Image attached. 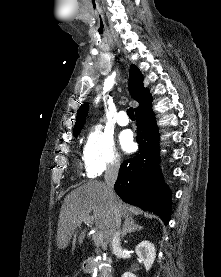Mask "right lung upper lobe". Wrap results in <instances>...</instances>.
<instances>
[{
    "label": "right lung upper lobe",
    "mask_w": 221,
    "mask_h": 277,
    "mask_svg": "<svg viewBox=\"0 0 221 277\" xmlns=\"http://www.w3.org/2000/svg\"><path fill=\"white\" fill-rule=\"evenodd\" d=\"M129 92L131 96L139 103V106L135 108V110H137L141 105L151 98L149 90L143 86V76L135 65L130 66ZM87 113L88 103H85L79 108L77 112V121L74 126V133L81 131L83 128Z\"/></svg>",
    "instance_id": "cb5924a9"
}]
</instances>
